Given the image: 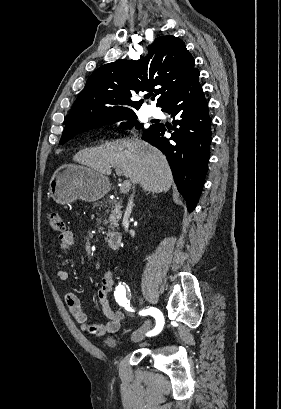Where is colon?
Masks as SVG:
<instances>
[{
  "mask_svg": "<svg viewBox=\"0 0 281 409\" xmlns=\"http://www.w3.org/2000/svg\"><path fill=\"white\" fill-rule=\"evenodd\" d=\"M47 217L52 232L63 234L66 231V223L58 211L49 210ZM114 318L121 320L123 318V314L117 312L114 314Z\"/></svg>",
  "mask_w": 281,
  "mask_h": 409,
  "instance_id": "colon-1",
  "label": "colon"
}]
</instances>
